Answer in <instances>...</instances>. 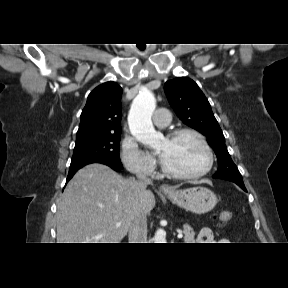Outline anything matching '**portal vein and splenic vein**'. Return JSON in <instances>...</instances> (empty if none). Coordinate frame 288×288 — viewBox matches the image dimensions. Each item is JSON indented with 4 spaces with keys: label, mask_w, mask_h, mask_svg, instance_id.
<instances>
[{
    "label": "portal vein and splenic vein",
    "mask_w": 288,
    "mask_h": 288,
    "mask_svg": "<svg viewBox=\"0 0 288 288\" xmlns=\"http://www.w3.org/2000/svg\"><path fill=\"white\" fill-rule=\"evenodd\" d=\"M120 225H121L120 223H116V227H119ZM177 237H178L179 239H181V238L183 237L182 232H179L178 235H177Z\"/></svg>",
    "instance_id": "obj_1"
}]
</instances>
